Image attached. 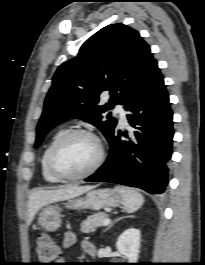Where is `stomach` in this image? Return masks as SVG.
<instances>
[{"label": "stomach", "instance_id": "1", "mask_svg": "<svg viewBox=\"0 0 205 265\" xmlns=\"http://www.w3.org/2000/svg\"><path fill=\"white\" fill-rule=\"evenodd\" d=\"M122 203L121 196L113 189L104 188L87 192L83 197L71 198L65 203L70 209H90L99 211L105 207H117ZM39 225L48 232L61 226V209L58 205H47L39 214Z\"/></svg>", "mask_w": 205, "mask_h": 265}]
</instances>
